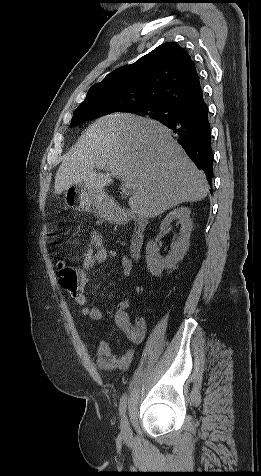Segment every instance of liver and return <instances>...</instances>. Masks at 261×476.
<instances>
[{
  "label": "liver",
  "mask_w": 261,
  "mask_h": 476,
  "mask_svg": "<svg viewBox=\"0 0 261 476\" xmlns=\"http://www.w3.org/2000/svg\"><path fill=\"white\" fill-rule=\"evenodd\" d=\"M114 173L129 177L135 185L128 204L140 217H157L181 203L200 201L209 192L204 172L167 127L141 116L116 113L88 126L63 157L55 193L75 184L104 191L113 183Z\"/></svg>",
  "instance_id": "liver-1"
}]
</instances>
